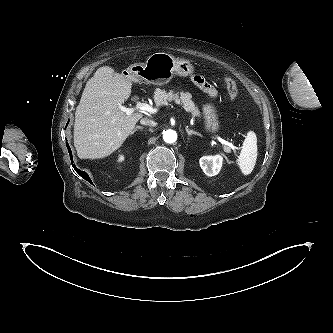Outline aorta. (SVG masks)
<instances>
[{"instance_id": "obj_1", "label": "aorta", "mask_w": 333, "mask_h": 333, "mask_svg": "<svg viewBox=\"0 0 333 333\" xmlns=\"http://www.w3.org/2000/svg\"><path fill=\"white\" fill-rule=\"evenodd\" d=\"M163 139L166 143H174L177 140V133L174 130H166L163 133Z\"/></svg>"}]
</instances>
